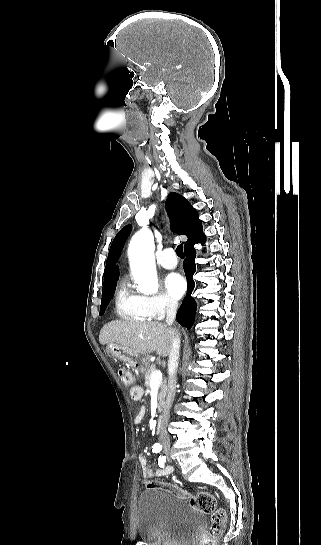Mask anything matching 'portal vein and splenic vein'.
<instances>
[{
    "mask_svg": "<svg viewBox=\"0 0 321 545\" xmlns=\"http://www.w3.org/2000/svg\"><path fill=\"white\" fill-rule=\"evenodd\" d=\"M162 379L163 375L161 371L153 370L151 375L150 387H154V385H156V387H159V385H161L162 383Z\"/></svg>",
    "mask_w": 321,
    "mask_h": 545,
    "instance_id": "portal-vein-and-splenic-vein-1",
    "label": "portal vein and splenic vein"
}]
</instances>
